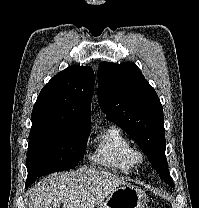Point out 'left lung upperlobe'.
<instances>
[{
  "mask_svg": "<svg viewBox=\"0 0 199 208\" xmlns=\"http://www.w3.org/2000/svg\"><path fill=\"white\" fill-rule=\"evenodd\" d=\"M98 97L107 119L135 140L160 178L173 185L165 156L163 109L155 90L133 62H102Z\"/></svg>",
  "mask_w": 199,
  "mask_h": 208,
  "instance_id": "1",
  "label": "left lung upper lobe"
}]
</instances>
